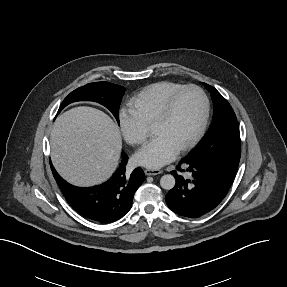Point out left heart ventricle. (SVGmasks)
Masks as SVG:
<instances>
[{"instance_id": "b2bd125f", "label": "left heart ventricle", "mask_w": 287, "mask_h": 287, "mask_svg": "<svg viewBox=\"0 0 287 287\" xmlns=\"http://www.w3.org/2000/svg\"><path fill=\"white\" fill-rule=\"evenodd\" d=\"M201 117L200 95L193 90L185 91L175 100L169 118L153 128V134L164 137L179 150L193 135Z\"/></svg>"}]
</instances>
